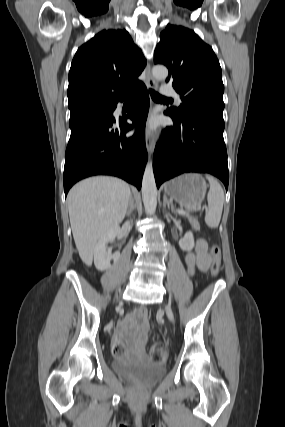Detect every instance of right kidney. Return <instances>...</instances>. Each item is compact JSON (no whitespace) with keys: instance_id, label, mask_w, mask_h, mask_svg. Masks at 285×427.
I'll list each match as a JSON object with an SVG mask.
<instances>
[{"instance_id":"1","label":"right kidney","mask_w":285,"mask_h":427,"mask_svg":"<svg viewBox=\"0 0 285 427\" xmlns=\"http://www.w3.org/2000/svg\"><path fill=\"white\" fill-rule=\"evenodd\" d=\"M119 234V228H114L105 234L102 238L99 239L96 247L94 249V264L97 270L105 271L111 267L110 261L113 259L116 262L120 253H115L111 256H108L106 252L107 243L112 239H115Z\"/></svg>"}]
</instances>
